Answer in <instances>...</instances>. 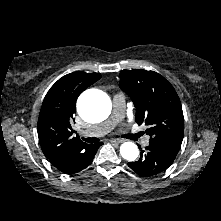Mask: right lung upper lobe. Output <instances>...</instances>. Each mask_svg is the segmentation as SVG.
Instances as JSON below:
<instances>
[{
	"mask_svg": "<svg viewBox=\"0 0 221 221\" xmlns=\"http://www.w3.org/2000/svg\"><path fill=\"white\" fill-rule=\"evenodd\" d=\"M100 78L98 73L67 74L50 88L42 103L37 127L41 148L51 164L64 173L91 145L72 136L71 123L78 96Z\"/></svg>",
	"mask_w": 221,
	"mask_h": 221,
	"instance_id": "1",
	"label": "right lung upper lobe"
}]
</instances>
